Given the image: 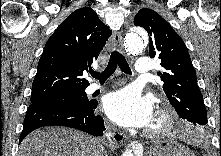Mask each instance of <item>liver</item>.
Listing matches in <instances>:
<instances>
[{
	"mask_svg": "<svg viewBox=\"0 0 221 156\" xmlns=\"http://www.w3.org/2000/svg\"><path fill=\"white\" fill-rule=\"evenodd\" d=\"M102 152L95 137L63 127L37 129L19 147V156H102Z\"/></svg>",
	"mask_w": 221,
	"mask_h": 156,
	"instance_id": "1",
	"label": "liver"
}]
</instances>
